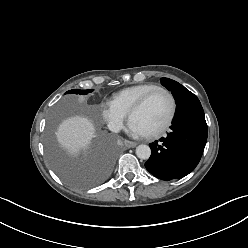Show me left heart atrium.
Here are the masks:
<instances>
[{
	"label": "left heart atrium",
	"instance_id": "obj_1",
	"mask_svg": "<svg viewBox=\"0 0 248 248\" xmlns=\"http://www.w3.org/2000/svg\"><path fill=\"white\" fill-rule=\"evenodd\" d=\"M129 129L135 135H138V136L145 135L143 133V131L138 126H136L134 123H132V122H130V124H129Z\"/></svg>",
	"mask_w": 248,
	"mask_h": 248
}]
</instances>
